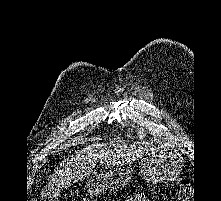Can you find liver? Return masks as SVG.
<instances>
[{
	"label": "liver",
	"instance_id": "obj_1",
	"mask_svg": "<svg viewBox=\"0 0 221 201\" xmlns=\"http://www.w3.org/2000/svg\"><path fill=\"white\" fill-rule=\"evenodd\" d=\"M158 148L149 142H132L123 138L88 145L64 160L51 176L48 189L42 196L67 188L71 184L96 174L98 162L105 169L115 168L155 152Z\"/></svg>",
	"mask_w": 221,
	"mask_h": 201
}]
</instances>
